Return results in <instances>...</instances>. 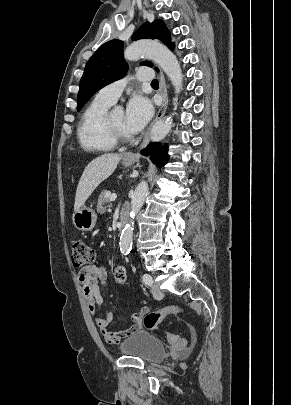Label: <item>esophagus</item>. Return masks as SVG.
<instances>
[{"label": "esophagus", "mask_w": 291, "mask_h": 405, "mask_svg": "<svg viewBox=\"0 0 291 405\" xmlns=\"http://www.w3.org/2000/svg\"><path fill=\"white\" fill-rule=\"evenodd\" d=\"M159 79H160V80H159V82H160V85H159V93L161 94V97H162V104H161V106L159 107V110H158V112H157V114H156L154 120L152 121L151 125L149 126V128H148V130H147V132H146V134H145L144 140H143V142H142V144H141V148L145 147V146L148 144V142H149L150 130H151L152 126H153L158 120H160V119L163 117V115H164L165 112H166L167 106H168L167 89H166L165 80H164V77H163L162 74L159 75ZM126 158H127V159H134V158H135V155H134V154H128V155H126Z\"/></svg>", "instance_id": "esophagus-1"}]
</instances>
